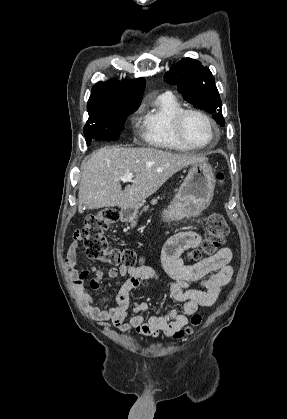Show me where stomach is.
I'll use <instances>...</instances> for the list:
<instances>
[{"label": "stomach", "mask_w": 287, "mask_h": 419, "mask_svg": "<svg viewBox=\"0 0 287 419\" xmlns=\"http://www.w3.org/2000/svg\"><path fill=\"white\" fill-rule=\"evenodd\" d=\"M214 186L215 176L212 166L206 161L193 164L171 205L164 211L165 219L178 221L185 217L198 216L212 201ZM141 206L122 207L119 212L120 220L135 223Z\"/></svg>", "instance_id": "1"}]
</instances>
